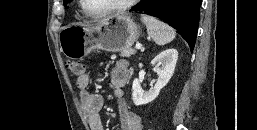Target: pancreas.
Returning <instances> with one entry per match:
<instances>
[{"mask_svg": "<svg viewBox=\"0 0 257 130\" xmlns=\"http://www.w3.org/2000/svg\"><path fill=\"white\" fill-rule=\"evenodd\" d=\"M135 54V50L132 48L122 49L121 56L129 58L131 55Z\"/></svg>", "mask_w": 257, "mask_h": 130, "instance_id": "cf45deb5", "label": "pancreas"}]
</instances>
